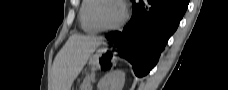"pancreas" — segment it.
I'll return each instance as SVG.
<instances>
[{"label": "pancreas", "instance_id": "obj_1", "mask_svg": "<svg viewBox=\"0 0 228 90\" xmlns=\"http://www.w3.org/2000/svg\"><path fill=\"white\" fill-rule=\"evenodd\" d=\"M92 82H94V75L90 74L86 76V78L80 86V90H92Z\"/></svg>", "mask_w": 228, "mask_h": 90}]
</instances>
